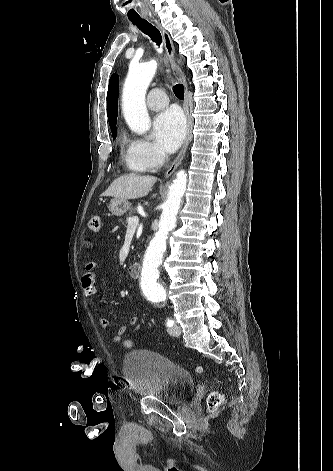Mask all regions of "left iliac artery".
<instances>
[{"label": "left iliac artery", "mask_w": 333, "mask_h": 471, "mask_svg": "<svg viewBox=\"0 0 333 471\" xmlns=\"http://www.w3.org/2000/svg\"><path fill=\"white\" fill-rule=\"evenodd\" d=\"M166 325L168 327H172L174 325V321L172 319H168L167 322H166Z\"/></svg>", "instance_id": "1"}]
</instances>
